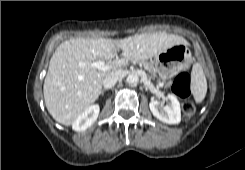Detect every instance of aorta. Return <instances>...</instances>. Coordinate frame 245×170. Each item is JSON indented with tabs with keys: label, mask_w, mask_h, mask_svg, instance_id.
Wrapping results in <instances>:
<instances>
[{
	"label": "aorta",
	"mask_w": 245,
	"mask_h": 170,
	"mask_svg": "<svg viewBox=\"0 0 245 170\" xmlns=\"http://www.w3.org/2000/svg\"><path fill=\"white\" fill-rule=\"evenodd\" d=\"M126 82L129 85H136L139 82V76L135 73H131L127 76Z\"/></svg>",
	"instance_id": "obj_1"
}]
</instances>
